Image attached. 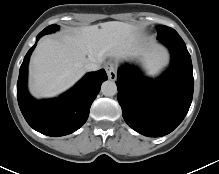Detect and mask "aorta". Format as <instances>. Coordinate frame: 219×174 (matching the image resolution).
Here are the masks:
<instances>
[{
    "label": "aorta",
    "instance_id": "obj_1",
    "mask_svg": "<svg viewBox=\"0 0 219 174\" xmlns=\"http://www.w3.org/2000/svg\"><path fill=\"white\" fill-rule=\"evenodd\" d=\"M101 92L103 95L111 97L117 93V86L114 81L107 80L101 85Z\"/></svg>",
    "mask_w": 219,
    "mask_h": 174
}]
</instances>
